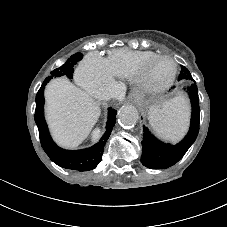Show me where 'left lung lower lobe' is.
<instances>
[{"mask_svg": "<svg viewBox=\"0 0 227 227\" xmlns=\"http://www.w3.org/2000/svg\"><path fill=\"white\" fill-rule=\"evenodd\" d=\"M187 91L192 107L191 124L188 134L178 144L171 145L159 141L143 126L141 162L144 166L151 169L168 168L177 163L196 140L200 120L199 97L196 83L194 82L187 87Z\"/></svg>", "mask_w": 227, "mask_h": 227, "instance_id": "obj_1", "label": "left lung lower lobe"}]
</instances>
